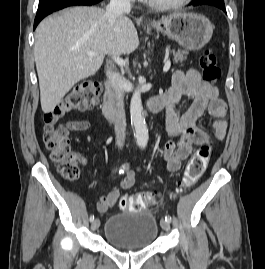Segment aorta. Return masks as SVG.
Instances as JSON below:
<instances>
[{
  "instance_id": "762f6f07",
  "label": "aorta",
  "mask_w": 265,
  "mask_h": 269,
  "mask_svg": "<svg viewBox=\"0 0 265 269\" xmlns=\"http://www.w3.org/2000/svg\"><path fill=\"white\" fill-rule=\"evenodd\" d=\"M141 79V78H140ZM131 124L135 130V139L138 146L144 149L147 146L149 135L148 129L143 115V107L141 101V93L135 90L130 102Z\"/></svg>"
}]
</instances>
